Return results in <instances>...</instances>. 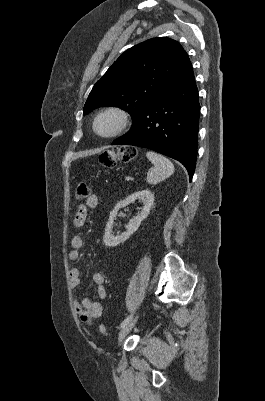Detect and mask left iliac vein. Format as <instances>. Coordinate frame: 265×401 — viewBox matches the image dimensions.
I'll use <instances>...</instances> for the list:
<instances>
[{
    "label": "left iliac vein",
    "mask_w": 265,
    "mask_h": 401,
    "mask_svg": "<svg viewBox=\"0 0 265 401\" xmlns=\"http://www.w3.org/2000/svg\"><path fill=\"white\" fill-rule=\"evenodd\" d=\"M138 320V315L129 321L119 332L118 342H122L125 337L129 334L131 329L135 326Z\"/></svg>",
    "instance_id": "1"
}]
</instances>
